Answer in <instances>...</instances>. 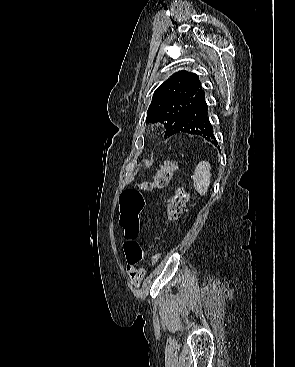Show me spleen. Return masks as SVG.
I'll return each instance as SVG.
<instances>
[{"label":"spleen","mask_w":295,"mask_h":367,"mask_svg":"<svg viewBox=\"0 0 295 367\" xmlns=\"http://www.w3.org/2000/svg\"><path fill=\"white\" fill-rule=\"evenodd\" d=\"M211 165L207 161H201L197 164L194 175H193V185L195 190L200 195H205L210 185L211 179Z\"/></svg>","instance_id":"3e777b00"}]
</instances>
